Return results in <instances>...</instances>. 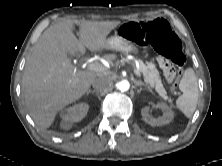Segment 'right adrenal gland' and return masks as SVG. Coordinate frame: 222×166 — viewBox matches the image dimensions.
Listing matches in <instances>:
<instances>
[{
	"mask_svg": "<svg viewBox=\"0 0 222 166\" xmlns=\"http://www.w3.org/2000/svg\"><path fill=\"white\" fill-rule=\"evenodd\" d=\"M93 92H94V90L89 89V90L87 91V95H89L90 93H93Z\"/></svg>",
	"mask_w": 222,
	"mask_h": 166,
	"instance_id": "right-adrenal-gland-1",
	"label": "right adrenal gland"
}]
</instances>
